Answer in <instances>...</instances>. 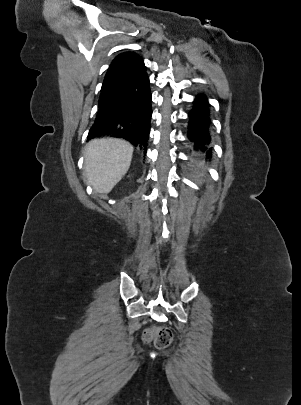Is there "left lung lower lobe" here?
Returning <instances> with one entry per match:
<instances>
[{"label": "left lung lower lobe", "mask_w": 301, "mask_h": 405, "mask_svg": "<svg viewBox=\"0 0 301 405\" xmlns=\"http://www.w3.org/2000/svg\"><path fill=\"white\" fill-rule=\"evenodd\" d=\"M208 105L206 97L198 95L194 101V108L189 114L188 138L195 149H205L210 145L209 114L205 110ZM211 150L212 148L209 149L208 153L211 154Z\"/></svg>", "instance_id": "left-lung-lower-lobe-1"}]
</instances>
